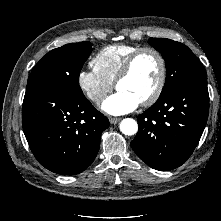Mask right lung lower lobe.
Returning a JSON list of instances; mask_svg holds the SVG:
<instances>
[{
  "label": "right lung lower lobe",
  "mask_w": 221,
  "mask_h": 221,
  "mask_svg": "<svg viewBox=\"0 0 221 221\" xmlns=\"http://www.w3.org/2000/svg\"><path fill=\"white\" fill-rule=\"evenodd\" d=\"M23 131L38 162L61 175H76L94 161L107 117L84 95L27 87Z\"/></svg>",
  "instance_id": "obj_1"
}]
</instances>
